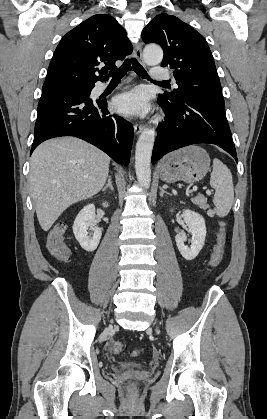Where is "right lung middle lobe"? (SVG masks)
<instances>
[{
	"label": "right lung middle lobe",
	"mask_w": 267,
	"mask_h": 419,
	"mask_svg": "<svg viewBox=\"0 0 267 419\" xmlns=\"http://www.w3.org/2000/svg\"><path fill=\"white\" fill-rule=\"evenodd\" d=\"M65 88L71 89V90H79V89H84V87L82 86H76V85H66L64 86Z\"/></svg>",
	"instance_id": "1"
}]
</instances>
